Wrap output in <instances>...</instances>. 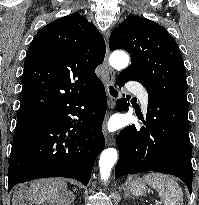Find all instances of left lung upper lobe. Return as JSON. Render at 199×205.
<instances>
[{
    "label": "left lung upper lobe",
    "instance_id": "1",
    "mask_svg": "<svg viewBox=\"0 0 199 205\" xmlns=\"http://www.w3.org/2000/svg\"><path fill=\"white\" fill-rule=\"evenodd\" d=\"M111 50L124 49L131 65L119 76L132 75L148 94L188 108L182 54L161 25L139 16L126 18L110 35Z\"/></svg>",
    "mask_w": 199,
    "mask_h": 205
}]
</instances>
